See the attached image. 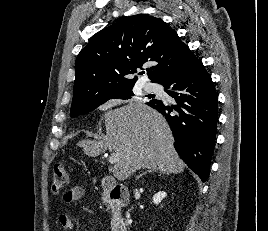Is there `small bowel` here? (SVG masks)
Listing matches in <instances>:
<instances>
[{
    "mask_svg": "<svg viewBox=\"0 0 268 231\" xmlns=\"http://www.w3.org/2000/svg\"><path fill=\"white\" fill-rule=\"evenodd\" d=\"M84 196L85 190L83 187L73 186L62 197V203L63 205H70L76 201L81 200ZM80 209L91 215H94L96 213L95 209L88 205H81ZM57 221L61 231H71L73 223L69 215H59Z\"/></svg>",
    "mask_w": 268,
    "mask_h": 231,
    "instance_id": "small-bowel-1",
    "label": "small bowel"
}]
</instances>
